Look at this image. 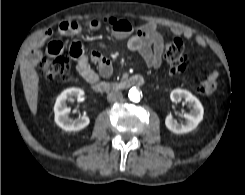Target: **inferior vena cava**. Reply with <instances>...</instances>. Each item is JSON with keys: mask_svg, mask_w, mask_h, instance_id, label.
<instances>
[{"mask_svg": "<svg viewBox=\"0 0 245 195\" xmlns=\"http://www.w3.org/2000/svg\"><path fill=\"white\" fill-rule=\"evenodd\" d=\"M123 98L122 93L120 91H111L107 95L108 102H116Z\"/></svg>", "mask_w": 245, "mask_h": 195, "instance_id": "1", "label": "inferior vena cava"}]
</instances>
